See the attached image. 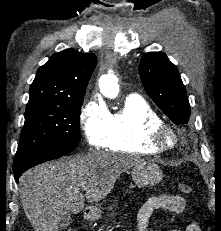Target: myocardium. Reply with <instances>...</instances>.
I'll return each mask as SVG.
<instances>
[{
    "instance_id": "obj_1",
    "label": "myocardium",
    "mask_w": 221,
    "mask_h": 231,
    "mask_svg": "<svg viewBox=\"0 0 221 231\" xmlns=\"http://www.w3.org/2000/svg\"><path fill=\"white\" fill-rule=\"evenodd\" d=\"M146 142L158 152H165L177 145L178 135L171 125L160 122L149 125Z\"/></svg>"
}]
</instances>
